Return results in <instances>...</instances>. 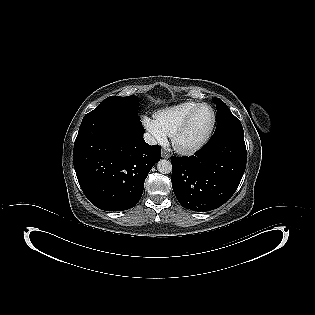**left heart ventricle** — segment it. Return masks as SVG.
<instances>
[{"label": "left heart ventricle", "instance_id": "left-heart-ventricle-1", "mask_svg": "<svg viewBox=\"0 0 315 315\" xmlns=\"http://www.w3.org/2000/svg\"><path fill=\"white\" fill-rule=\"evenodd\" d=\"M212 111L208 107L200 108L194 115L187 130L179 139V144L189 147L198 143L208 132L212 123Z\"/></svg>", "mask_w": 315, "mask_h": 315}]
</instances>
